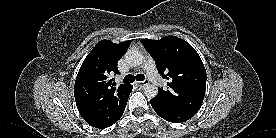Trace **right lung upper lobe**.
Wrapping results in <instances>:
<instances>
[{
	"mask_svg": "<svg viewBox=\"0 0 276 138\" xmlns=\"http://www.w3.org/2000/svg\"><path fill=\"white\" fill-rule=\"evenodd\" d=\"M129 41L115 44L101 40L83 61L74 86L77 108L93 127L107 128L116 123L125 110L132 85L116 86L117 62L125 54Z\"/></svg>",
	"mask_w": 276,
	"mask_h": 138,
	"instance_id": "1",
	"label": "right lung upper lobe"
}]
</instances>
